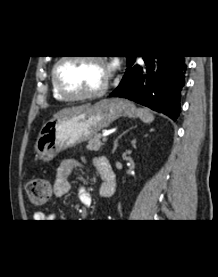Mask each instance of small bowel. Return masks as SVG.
I'll list each match as a JSON object with an SVG mask.
<instances>
[{"instance_id": "c3829d8e", "label": "small bowel", "mask_w": 218, "mask_h": 277, "mask_svg": "<svg viewBox=\"0 0 218 277\" xmlns=\"http://www.w3.org/2000/svg\"><path fill=\"white\" fill-rule=\"evenodd\" d=\"M103 158V157H99ZM96 158L93 160V166L97 170L98 174L102 179L103 170L98 167V159ZM80 168V163L73 158H65L63 159L57 170L55 175L54 181V193L56 196H64L66 195L71 189V182L70 177L74 170ZM111 168V176L113 180L108 182L106 195H112L114 193V173L110 164ZM100 194L102 195L101 191ZM103 196V195H102ZM78 197L80 202L84 206H90L92 204V196L89 191H87L83 186H80L78 189ZM56 218L55 213H44V212H35L34 213V220L35 222H49L50 220H54Z\"/></svg>"}]
</instances>
